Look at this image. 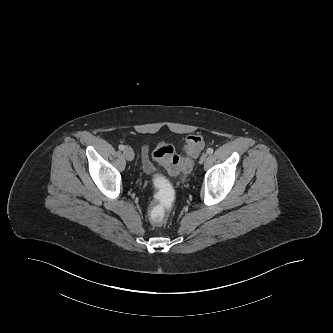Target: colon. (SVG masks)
<instances>
[{
  "label": "colon",
  "mask_w": 333,
  "mask_h": 333,
  "mask_svg": "<svg viewBox=\"0 0 333 333\" xmlns=\"http://www.w3.org/2000/svg\"><path fill=\"white\" fill-rule=\"evenodd\" d=\"M203 147L202 137L191 135L186 139L184 155H178L174 146L167 142L159 143L152 155L170 175L176 176L191 171L193 162ZM152 183L159 190L153 195V204L147 209V218L154 227H163L168 222V210L174 205L176 193L166 174H156Z\"/></svg>",
  "instance_id": "obj_1"
}]
</instances>
